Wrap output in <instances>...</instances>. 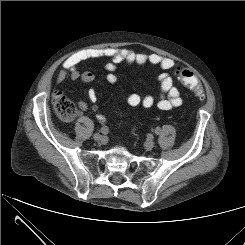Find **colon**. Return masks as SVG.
I'll return each mask as SVG.
<instances>
[{
  "mask_svg": "<svg viewBox=\"0 0 245 245\" xmlns=\"http://www.w3.org/2000/svg\"><path fill=\"white\" fill-rule=\"evenodd\" d=\"M175 75L184 86L194 91L199 97H204L200 80L194 71L187 68H178L175 70ZM52 104L57 115L64 121L74 119L78 113L76 104L61 92L53 94Z\"/></svg>",
  "mask_w": 245,
  "mask_h": 245,
  "instance_id": "obj_1",
  "label": "colon"
}]
</instances>
